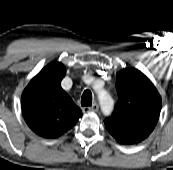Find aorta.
Returning a JSON list of instances; mask_svg holds the SVG:
<instances>
[{
    "mask_svg": "<svg viewBox=\"0 0 173 170\" xmlns=\"http://www.w3.org/2000/svg\"><path fill=\"white\" fill-rule=\"evenodd\" d=\"M99 103L104 115H109L112 112L114 101L107 92L101 91L99 93Z\"/></svg>",
    "mask_w": 173,
    "mask_h": 170,
    "instance_id": "762f6f07",
    "label": "aorta"
}]
</instances>
